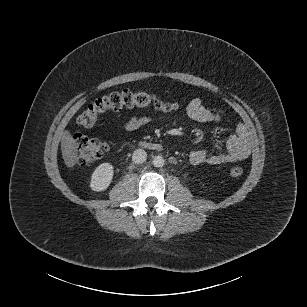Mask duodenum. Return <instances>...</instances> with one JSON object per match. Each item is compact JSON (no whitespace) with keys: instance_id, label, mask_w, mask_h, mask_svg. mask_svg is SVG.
Instances as JSON below:
<instances>
[{"instance_id":"410a0bca","label":"duodenum","mask_w":307,"mask_h":307,"mask_svg":"<svg viewBox=\"0 0 307 307\" xmlns=\"http://www.w3.org/2000/svg\"><path fill=\"white\" fill-rule=\"evenodd\" d=\"M146 145L155 150L161 149V146L159 144H146Z\"/></svg>"}]
</instances>
